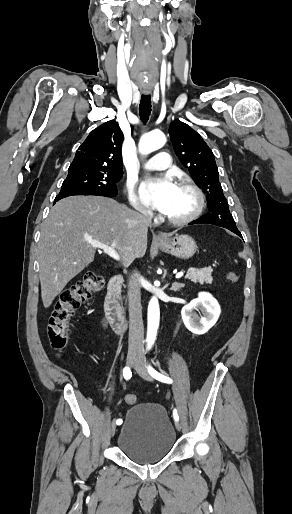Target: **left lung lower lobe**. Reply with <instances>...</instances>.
<instances>
[{
	"label": "left lung lower lobe",
	"instance_id": "1",
	"mask_svg": "<svg viewBox=\"0 0 292 514\" xmlns=\"http://www.w3.org/2000/svg\"><path fill=\"white\" fill-rule=\"evenodd\" d=\"M199 223H203L200 219H197L195 221H192L191 223H189V225H192V224H199ZM234 232L235 234H237L238 236H240L242 238V235L239 231H232Z\"/></svg>",
	"mask_w": 292,
	"mask_h": 514
}]
</instances>
